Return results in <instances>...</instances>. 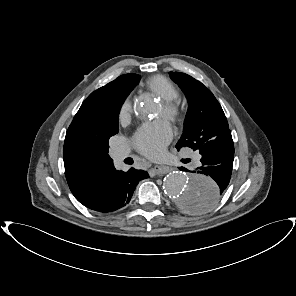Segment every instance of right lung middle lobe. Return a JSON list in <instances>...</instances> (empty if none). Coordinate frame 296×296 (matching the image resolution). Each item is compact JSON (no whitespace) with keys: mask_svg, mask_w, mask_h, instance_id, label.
Returning a JSON list of instances; mask_svg holds the SVG:
<instances>
[{"mask_svg":"<svg viewBox=\"0 0 296 296\" xmlns=\"http://www.w3.org/2000/svg\"><path fill=\"white\" fill-rule=\"evenodd\" d=\"M140 76L129 84L123 86L114 97V105L112 108L101 116L100 120L97 123V127L101 132V135L106 139H109L111 136L118 133V115L120 107L129 94V92L138 84Z\"/></svg>","mask_w":296,"mask_h":296,"instance_id":"right-lung-middle-lobe-1","label":"right lung middle lobe"}]
</instances>
